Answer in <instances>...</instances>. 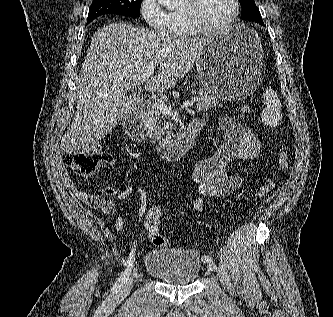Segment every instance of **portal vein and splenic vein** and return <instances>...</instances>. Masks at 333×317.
I'll list each match as a JSON object with an SVG mask.
<instances>
[{
	"label": "portal vein and splenic vein",
	"mask_w": 333,
	"mask_h": 317,
	"mask_svg": "<svg viewBox=\"0 0 333 317\" xmlns=\"http://www.w3.org/2000/svg\"><path fill=\"white\" fill-rule=\"evenodd\" d=\"M154 71V68L151 69L150 73ZM200 98L196 97L193 98L191 100L185 101L183 102V105L181 106L182 108H188L190 106H192L196 101H199ZM147 103L151 104V101L149 99L146 100ZM152 106L156 107L160 112H162L163 114L167 115L170 114L172 112V108L171 106L167 105L165 102H152Z\"/></svg>",
	"instance_id": "obj_1"
}]
</instances>
